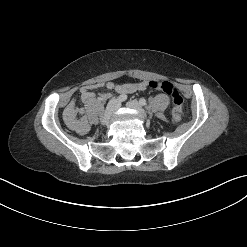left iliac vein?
I'll return each instance as SVG.
<instances>
[{"label": "left iliac vein", "mask_w": 247, "mask_h": 247, "mask_svg": "<svg viewBox=\"0 0 247 247\" xmlns=\"http://www.w3.org/2000/svg\"><path fill=\"white\" fill-rule=\"evenodd\" d=\"M129 108L135 109L139 112L141 119L145 120L147 124H150V120L147 118L145 111L137 100H130L127 102Z\"/></svg>", "instance_id": "obj_1"}]
</instances>
